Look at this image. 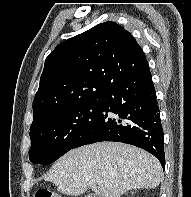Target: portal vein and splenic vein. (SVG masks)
<instances>
[{
    "label": "portal vein and splenic vein",
    "mask_w": 191,
    "mask_h": 197,
    "mask_svg": "<svg viewBox=\"0 0 191 197\" xmlns=\"http://www.w3.org/2000/svg\"><path fill=\"white\" fill-rule=\"evenodd\" d=\"M99 186H103V182L101 181V182H99Z\"/></svg>",
    "instance_id": "1"
}]
</instances>
